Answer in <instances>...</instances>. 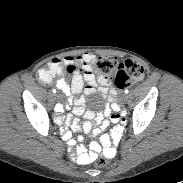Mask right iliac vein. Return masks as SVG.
Here are the masks:
<instances>
[{
  "mask_svg": "<svg viewBox=\"0 0 183 183\" xmlns=\"http://www.w3.org/2000/svg\"><path fill=\"white\" fill-rule=\"evenodd\" d=\"M55 96H56L57 99L61 98V94L60 93H57Z\"/></svg>",
  "mask_w": 183,
  "mask_h": 183,
  "instance_id": "obj_1",
  "label": "right iliac vein"
}]
</instances>
